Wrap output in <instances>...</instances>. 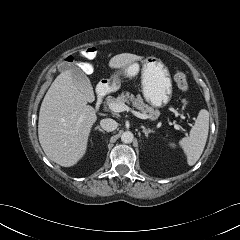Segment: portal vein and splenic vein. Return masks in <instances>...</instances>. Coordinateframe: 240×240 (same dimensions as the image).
Listing matches in <instances>:
<instances>
[{"instance_id":"1","label":"portal vein and splenic vein","mask_w":240,"mask_h":240,"mask_svg":"<svg viewBox=\"0 0 240 240\" xmlns=\"http://www.w3.org/2000/svg\"><path fill=\"white\" fill-rule=\"evenodd\" d=\"M113 112H123V111H129L131 112L134 116L140 118V119H147L149 118L148 115L142 114L138 111H135L134 109L130 108L124 103H112L109 107ZM180 117L183 119L184 116L181 114ZM175 129H178L182 132H184L185 135H187V132L185 129L181 128L179 125H175Z\"/></svg>"}]
</instances>
